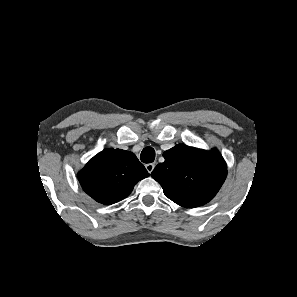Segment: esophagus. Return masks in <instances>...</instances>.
Returning <instances> with one entry per match:
<instances>
[{
  "label": "esophagus",
  "mask_w": 297,
  "mask_h": 297,
  "mask_svg": "<svg viewBox=\"0 0 297 297\" xmlns=\"http://www.w3.org/2000/svg\"><path fill=\"white\" fill-rule=\"evenodd\" d=\"M146 170L148 171V173H151L155 167V165L153 163H149L145 165Z\"/></svg>",
  "instance_id": "34e87169"
}]
</instances>
